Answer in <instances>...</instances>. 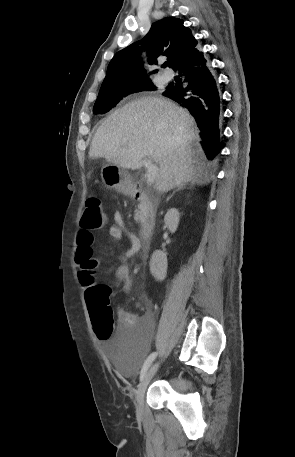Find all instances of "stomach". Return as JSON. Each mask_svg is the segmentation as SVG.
<instances>
[{"instance_id":"0dacf381","label":"stomach","mask_w":295,"mask_h":457,"mask_svg":"<svg viewBox=\"0 0 295 457\" xmlns=\"http://www.w3.org/2000/svg\"><path fill=\"white\" fill-rule=\"evenodd\" d=\"M102 181L106 187L124 194H131L133 183L127 171L114 164H106L101 169Z\"/></svg>"}]
</instances>
